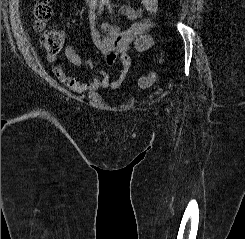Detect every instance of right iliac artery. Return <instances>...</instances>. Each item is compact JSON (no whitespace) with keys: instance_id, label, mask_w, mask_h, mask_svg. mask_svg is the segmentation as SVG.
<instances>
[{"instance_id":"right-iliac-artery-1","label":"right iliac artery","mask_w":245,"mask_h":239,"mask_svg":"<svg viewBox=\"0 0 245 239\" xmlns=\"http://www.w3.org/2000/svg\"><path fill=\"white\" fill-rule=\"evenodd\" d=\"M105 3H106V0H101L100 1L99 6H98V13L99 14L103 11Z\"/></svg>"}]
</instances>
